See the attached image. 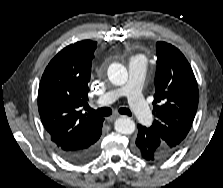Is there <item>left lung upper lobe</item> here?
<instances>
[{
	"instance_id": "5c2ea615",
	"label": "left lung upper lobe",
	"mask_w": 223,
	"mask_h": 188,
	"mask_svg": "<svg viewBox=\"0 0 223 188\" xmlns=\"http://www.w3.org/2000/svg\"><path fill=\"white\" fill-rule=\"evenodd\" d=\"M157 69L150 127L173 154L189 132L198 107V87L192 68L176 47L157 42Z\"/></svg>"
}]
</instances>
